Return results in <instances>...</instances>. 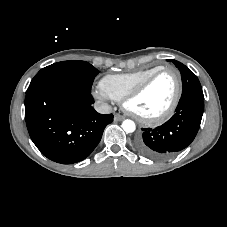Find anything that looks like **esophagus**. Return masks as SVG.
<instances>
[{"instance_id": "obj_1", "label": "esophagus", "mask_w": 227, "mask_h": 227, "mask_svg": "<svg viewBox=\"0 0 227 227\" xmlns=\"http://www.w3.org/2000/svg\"><path fill=\"white\" fill-rule=\"evenodd\" d=\"M124 116L123 115H120V114H116L115 116H114V120L115 121H122V120H124Z\"/></svg>"}]
</instances>
